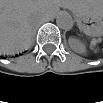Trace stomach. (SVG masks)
I'll return each instance as SVG.
<instances>
[{
	"mask_svg": "<svg viewBox=\"0 0 103 103\" xmlns=\"http://www.w3.org/2000/svg\"><path fill=\"white\" fill-rule=\"evenodd\" d=\"M72 13L78 27L86 34L98 36L102 30L103 7L99 0L73 1Z\"/></svg>",
	"mask_w": 103,
	"mask_h": 103,
	"instance_id": "stomach-1",
	"label": "stomach"
}]
</instances>
